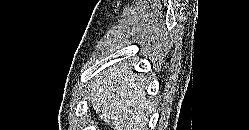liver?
<instances>
[{
    "label": "liver",
    "mask_w": 249,
    "mask_h": 130,
    "mask_svg": "<svg viewBox=\"0 0 249 130\" xmlns=\"http://www.w3.org/2000/svg\"><path fill=\"white\" fill-rule=\"evenodd\" d=\"M141 74L127 62L109 67L95 77L93 107L114 130H145L153 104L147 99Z\"/></svg>",
    "instance_id": "1"
}]
</instances>
